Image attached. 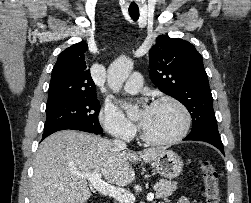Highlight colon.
Wrapping results in <instances>:
<instances>
[{
    "instance_id": "5ec220e1",
    "label": "colon",
    "mask_w": 251,
    "mask_h": 203,
    "mask_svg": "<svg viewBox=\"0 0 251 203\" xmlns=\"http://www.w3.org/2000/svg\"><path fill=\"white\" fill-rule=\"evenodd\" d=\"M203 176L205 203H220L219 175L214 165L209 161L199 164Z\"/></svg>"
}]
</instances>
